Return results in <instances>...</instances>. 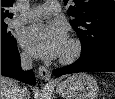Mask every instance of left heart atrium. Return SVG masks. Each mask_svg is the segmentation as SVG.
<instances>
[{"instance_id": "1", "label": "left heart atrium", "mask_w": 115, "mask_h": 99, "mask_svg": "<svg viewBox=\"0 0 115 99\" xmlns=\"http://www.w3.org/2000/svg\"><path fill=\"white\" fill-rule=\"evenodd\" d=\"M21 41L34 56L54 59L64 52L67 35L65 28L60 24L36 23L24 31Z\"/></svg>"}]
</instances>
